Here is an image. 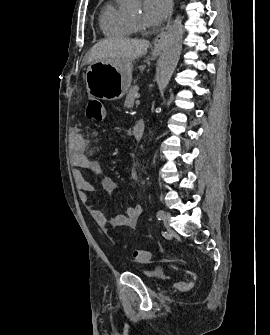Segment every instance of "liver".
Segmentation results:
<instances>
[{
    "mask_svg": "<svg viewBox=\"0 0 270 335\" xmlns=\"http://www.w3.org/2000/svg\"><path fill=\"white\" fill-rule=\"evenodd\" d=\"M150 42L147 40H113L106 38L91 48L87 62H104V60H118V58H141L146 54Z\"/></svg>",
    "mask_w": 270,
    "mask_h": 335,
    "instance_id": "obj_1",
    "label": "liver"
}]
</instances>
